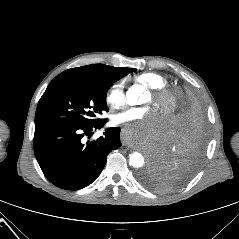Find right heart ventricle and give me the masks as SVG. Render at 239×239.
<instances>
[{
	"mask_svg": "<svg viewBox=\"0 0 239 239\" xmlns=\"http://www.w3.org/2000/svg\"><path fill=\"white\" fill-rule=\"evenodd\" d=\"M133 80L149 89H161L167 85V79L155 72H143L136 75Z\"/></svg>",
	"mask_w": 239,
	"mask_h": 239,
	"instance_id": "e07e8e85",
	"label": "right heart ventricle"
}]
</instances>
